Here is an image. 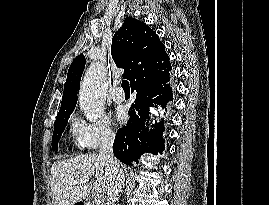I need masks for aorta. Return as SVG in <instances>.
Segmentation results:
<instances>
[{
    "instance_id": "aorta-1",
    "label": "aorta",
    "mask_w": 269,
    "mask_h": 205,
    "mask_svg": "<svg viewBox=\"0 0 269 205\" xmlns=\"http://www.w3.org/2000/svg\"><path fill=\"white\" fill-rule=\"evenodd\" d=\"M106 89V72L101 64L93 63L84 76L79 92L80 109L91 122H96L104 113Z\"/></svg>"
}]
</instances>
